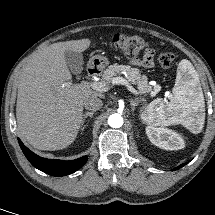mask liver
Here are the masks:
<instances>
[{
	"instance_id": "liver-1",
	"label": "liver",
	"mask_w": 215,
	"mask_h": 215,
	"mask_svg": "<svg viewBox=\"0 0 215 215\" xmlns=\"http://www.w3.org/2000/svg\"><path fill=\"white\" fill-rule=\"evenodd\" d=\"M89 39L57 42L34 52L18 76L16 118L20 135L39 150H60L75 140L83 100L98 93L71 83L66 51L84 52Z\"/></svg>"
}]
</instances>
